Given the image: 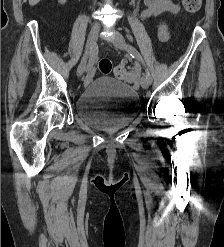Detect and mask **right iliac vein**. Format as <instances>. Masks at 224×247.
I'll return each mask as SVG.
<instances>
[{"label": "right iliac vein", "mask_w": 224, "mask_h": 247, "mask_svg": "<svg viewBox=\"0 0 224 247\" xmlns=\"http://www.w3.org/2000/svg\"><path fill=\"white\" fill-rule=\"evenodd\" d=\"M99 31L100 27L98 25H94L90 30L86 43L85 55L77 68V76H81L86 70L87 60L90 58L91 50L97 41Z\"/></svg>", "instance_id": "right-iliac-vein-1"}]
</instances>
